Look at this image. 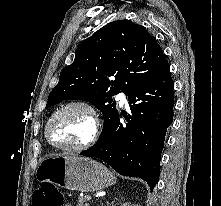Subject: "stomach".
Returning a JSON list of instances; mask_svg holds the SVG:
<instances>
[{
  "label": "stomach",
  "instance_id": "stomach-1",
  "mask_svg": "<svg viewBox=\"0 0 221 206\" xmlns=\"http://www.w3.org/2000/svg\"><path fill=\"white\" fill-rule=\"evenodd\" d=\"M39 182L48 181L72 191H98L116 183V177L90 158L56 155L44 158L36 171Z\"/></svg>",
  "mask_w": 221,
  "mask_h": 206
}]
</instances>
